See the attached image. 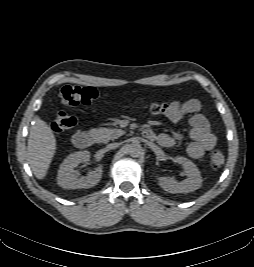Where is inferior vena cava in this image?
Returning a JSON list of instances; mask_svg holds the SVG:
<instances>
[{"label":"inferior vena cava","mask_w":254,"mask_h":267,"mask_svg":"<svg viewBox=\"0 0 254 267\" xmlns=\"http://www.w3.org/2000/svg\"><path fill=\"white\" fill-rule=\"evenodd\" d=\"M117 146H118L117 143H111V144H108V145L106 146V149H107V150H112V149L117 148Z\"/></svg>","instance_id":"inferior-vena-cava-1"}]
</instances>
